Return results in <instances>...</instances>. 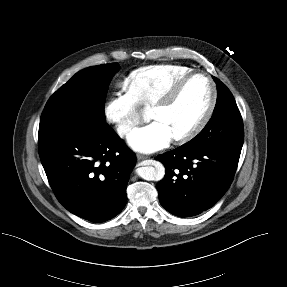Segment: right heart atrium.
Wrapping results in <instances>:
<instances>
[{"instance_id": "d8ad5b80", "label": "right heart atrium", "mask_w": 287, "mask_h": 287, "mask_svg": "<svg viewBox=\"0 0 287 287\" xmlns=\"http://www.w3.org/2000/svg\"><path fill=\"white\" fill-rule=\"evenodd\" d=\"M104 115L121 137L127 136L139 123L141 118L139 103L127 85H122L106 102Z\"/></svg>"}]
</instances>
